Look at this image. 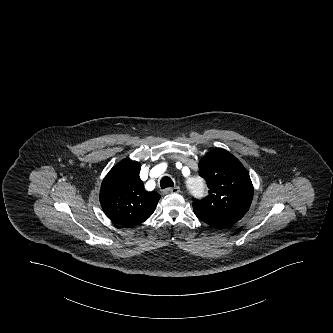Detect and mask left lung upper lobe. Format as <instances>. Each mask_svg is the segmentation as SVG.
I'll return each mask as SVG.
<instances>
[{
    "mask_svg": "<svg viewBox=\"0 0 333 333\" xmlns=\"http://www.w3.org/2000/svg\"><path fill=\"white\" fill-rule=\"evenodd\" d=\"M199 174L206 180L209 195L203 200L193 199L195 215L215 228L239 221L253 198V185L241 162L228 151L216 148L200 160Z\"/></svg>",
    "mask_w": 333,
    "mask_h": 333,
    "instance_id": "1",
    "label": "left lung upper lobe"
}]
</instances>
